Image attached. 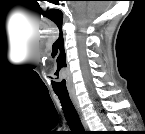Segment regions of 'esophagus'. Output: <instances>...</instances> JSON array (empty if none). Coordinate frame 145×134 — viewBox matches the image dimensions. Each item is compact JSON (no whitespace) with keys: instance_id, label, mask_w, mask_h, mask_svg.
Masks as SVG:
<instances>
[{"instance_id":"34e87169","label":"esophagus","mask_w":145,"mask_h":134,"mask_svg":"<svg viewBox=\"0 0 145 134\" xmlns=\"http://www.w3.org/2000/svg\"><path fill=\"white\" fill-rule=\"evenodd\" d=\"M71 101H72V103H73V105H74V107H75V109H76V111H77V113H78V115L80 117V120H81L84 128L87 129V124H86V121L84 119V116H83L82 110L80 108V105H79L77 97L72 95L71 96Z\"/></svg>"}]
</instances>
